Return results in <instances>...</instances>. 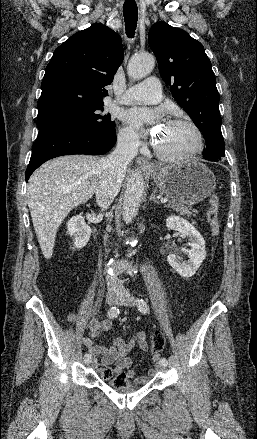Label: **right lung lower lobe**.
<instances>
[{"label": "right lung lower lobe", "mask_w": 257, "mask_h": 439, "mask_svg": "<svg viewBox=\"0 0 257 439\" xmlns=\"http://www.w3.org/2000/svg\"><path fill=\"white\" fill-rule=\"evenodd\" d=\"M116 135L75 124H54L39 130L25 173L30 175L41 164L54 157L69 154L103 155L115 144Z\"/></svg>", "instance_id": "1"}]
</instances>
